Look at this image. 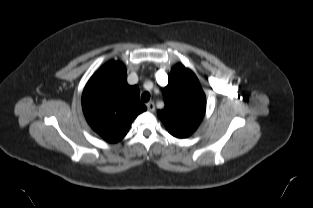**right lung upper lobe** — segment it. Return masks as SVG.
I'll list each match as a JSON object with an SVG mask.
<instances>
[{
  "label": "right lung upper lobe",
  "instance_id": "obj_1",
  "mask_svg": "<svg viewBox=\"0 0 313 208\" xmlns=\"http://www.w3.org/2000/svg\"><path fill=\"white\" fill-rule=\"evenodd\" d=\"M82 109L91 128L109 143L120 141L132 121L146 106L139 100L138 86H130L126 67L119 61L102 66L88 81Z\"/></svg>",
  "mask_w": 313,
  "mask_h": 208
}]
</instances>
